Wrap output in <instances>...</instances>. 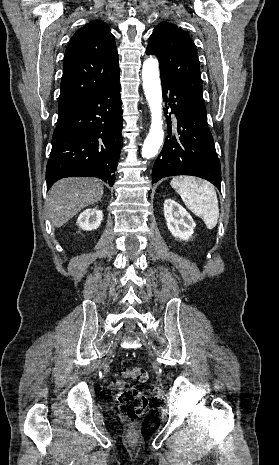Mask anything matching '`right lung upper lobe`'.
Returning a JSON list of instances; mask_svg holds the SVG:
<instances>
[{
	"label": "right lung upper lobe",
	"instance_id": "1",
	"mask_svg": "<svg viewBox=\"0 0 279 465\" xmlns=\"http://www.w3.org/2000/svg\"><path fill=\"white\" fill-rule=\"evenodd\" d=\"M119 77L115 37L106 23L92 21L71 38L65 52L58 120L88 102Z\"/></svg>",
	"mask_w": 279,
	"mask_h": 465
}]
</instances>
